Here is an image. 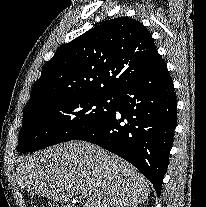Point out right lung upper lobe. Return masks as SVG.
Returning a JSON list of instances; mask_svg holds the SVG:
<instances>
[{"mask_svg":"<svg viewBox=\"0 0 206 207\" xmlns=\"http://www.w3.org/2000/svg\"><path fill=\"white\" fill-rule=\"evenodd\" d=\"M159 57L142 23L128 17L105 21L56 50L24 111L52 100L117 95Z\"/></svg>","mask_w":206,"mask_h":207,"instance_id":"1","label":"right lung upper lobe"}]
</instances>
